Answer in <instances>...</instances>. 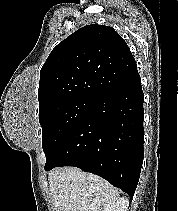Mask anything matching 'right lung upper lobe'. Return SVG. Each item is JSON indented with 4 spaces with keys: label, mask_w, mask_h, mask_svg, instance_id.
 <instances>
[{
    "label": "right lung upper lobe",
    "mask_w": 178,
    "mask_h": 211,
    "mask_svg": "<svg viewBox=\"0 0 178 211\" xmlns=\"http://www.w3.org/2000/svg\"><path fill=\"white\" fill-rule=\"evenodd\" d=\"M137 74L129 47L112 27L85 26L60 42L44 63L39 111L69 99H98Z\"/></svg>",
    "instance_id": "obj_1"
}]
</instances>
